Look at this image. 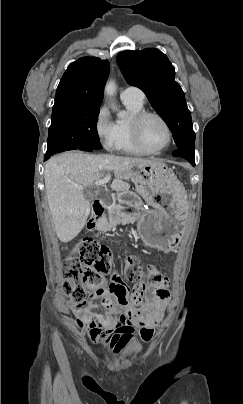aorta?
<instances>
[{"label": "aorta", "instance_id": "762f6f07", "mask_svg": "<svg viewBox=\"0 0 243 404\" xmlns=\"http://www.w3.org/2000/svg\"><path fill=\"white\" fill-rule=\"evenodd\" d=\"M115 90H116V86H115L114 82H108V84L105 88L106 94H108V96H114ZM113 110H116L115 106H114ZM118 116H119V118H124V116H126V112H119Z\"/></svg>", "mask_w": 243, "mask_h": 404}]
</instances>
